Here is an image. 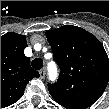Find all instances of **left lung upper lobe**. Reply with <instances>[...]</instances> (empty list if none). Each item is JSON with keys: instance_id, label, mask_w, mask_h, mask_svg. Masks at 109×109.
Instances as JSON below:
<instances>
[{"instance_id": "1", "label": "left lung upper lobe", "mask_w": 109, "mask_h": 109, "mask_svg": "<svg viewBox=\"0 0 109 109\" xmlns=\"http://www.w3.org/2000/svg\"><path fill=\"white\" fill-rule=\"evenodd\" d=\"M53 58L61 72L48 84L49 92L85 105H92L109 81V58L100 41L77 26L46 31Z\"/></svg>"}]
</instances>
